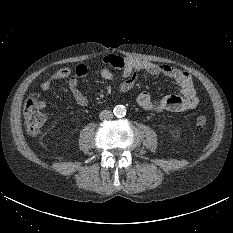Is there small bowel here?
I'll return each mask as SVG.
<instances>
[{
	"label": "small bowel",
	"instance_id": "1",
	"mask_svg": "<svg viewBox=\"0 0 233 233\" xmlns=\"http://www.w3.org/2000/svg\"><path fill=\"white\" fill-rule=\"evenodd\" d=\"M101 62L103 66L99 69V75L104 80L112 81L117 78L110 68L120 71L122 81L116 89L117 94L127 93L134 87L139 71H144L150 75H163L177 83L181 95H166L162 98H155L148 92L139 93L136 102L145 110L156 113L185 112L198 105L199 99L192 77L186 71L167 64H157L136 57L115 54L105 55ZM89 68L88 64L81 63L74 69H59L43 81L40 88L43 92H47L55 82L68 79V87L73 99L77 104L86 106L89 100L79 89V80L88 73Z\"/></svg>",
	"mask_w": 233,
	"mask_h": 233
}]
</instances>
